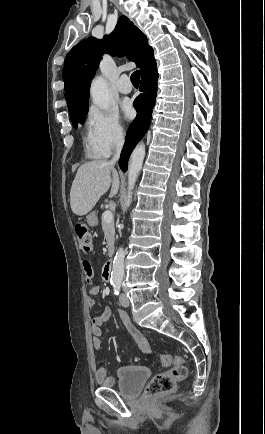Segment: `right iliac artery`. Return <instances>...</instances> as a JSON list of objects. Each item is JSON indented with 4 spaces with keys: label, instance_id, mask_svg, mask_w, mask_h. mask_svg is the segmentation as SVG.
<instances>
[{
    "label": "right iliac artery",
    "instance_id": "1",
    "mask_svg": "<svg viewBox=\"0 0 265 434\" xmlns=\"http://www.w3.org/2000/svg\"><path fill=\"white\" fill-rule=\"evenodd\" d=\"M111 284L114 285L115 283H114V282H111Z\"/></svg>",
    "mask_w": 265,
    "mask_h": 434
}]
</instances>
